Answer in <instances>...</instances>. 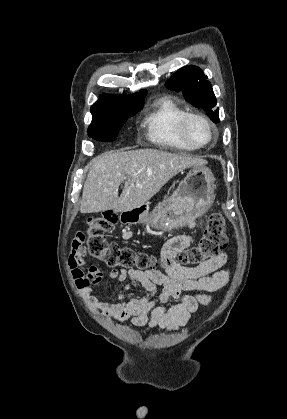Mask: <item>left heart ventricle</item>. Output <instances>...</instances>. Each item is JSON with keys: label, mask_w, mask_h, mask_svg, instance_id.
<instances>
[{"label": "left heart ventricle", "mask_w": 287, "mask_h": 419, "mask_svg": "<svg viewBox=\"0 0 287 419\" xmlns=\"http://www.w3.org/2000/svg\"><path fill=\"white\" fill-rule=\"evenodd\" d=\"M187 134L195 143H204L208 141L210 132L207 126L200 120H190L187 125Z\"/></svg>", "instance_id": "1"}]
</instances>
